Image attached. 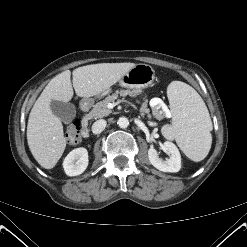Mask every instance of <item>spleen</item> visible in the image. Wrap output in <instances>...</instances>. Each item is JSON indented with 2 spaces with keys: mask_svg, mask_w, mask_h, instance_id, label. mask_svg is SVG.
I'll return each instance as SVG.
<instances>
[{
  "mask_svg": "<svg viewBox=\"0 0 247 247\" xmlns=\"http://www.w3.org/2000/svg\"><path fill=\"white\" fill-rule=\"evenodd\" d=\"M172 123L165 125V137L175 139L185 155L195 162L209 153L213 129L209 111L194 88L181 81H172L167 88Z\"/></svg>",
  "mask_w": 247,
  "mask_h": 247,
  "instance_id": "spleen-1",
  "label": "spleen"
}]
</instances>
